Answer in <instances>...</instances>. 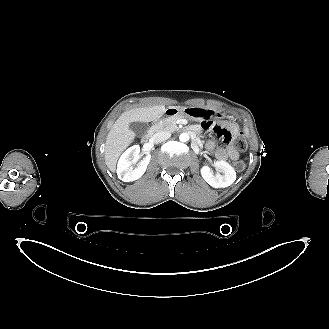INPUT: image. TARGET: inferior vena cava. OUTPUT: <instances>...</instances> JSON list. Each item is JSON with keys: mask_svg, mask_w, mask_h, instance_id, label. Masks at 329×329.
<instances>
[{"mask_svg": "<svg viewBox=\"0 0 329 329\" xmlns=\"http://www.w3.org/2000/svg\"><path fill=\"white\" fill-rule=\"evenodd\" d=\"M171 136V133L168 131H159L153 135V140L155 143H161L167 140Z\"/></svg>", "mask_w": 329, "mask_h": 329, "instance_id": "inferior-vena-cava-1", "label": "inferior vena cava"}]
</instances>
